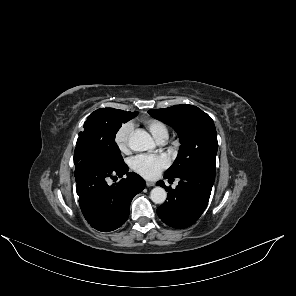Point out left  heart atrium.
I'll return each mask as SVG.
<instances>
[{
	"label": "left heart atrium",
	"instance_id": "obj_1",
	"mask_svg": "<svg viewBox=\"0 0 296 296\" xmlns=\"http://www.w3.org/2000/svg\"><path fill=\"white\" fill-rule=\"evenodd\" d=\"M169 165L164 155H138L131 161L132 170L146 179H155Z\"/></svg>",
	"mask_w": 296,
	"mask_h": 296
}]
</instances>
